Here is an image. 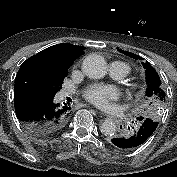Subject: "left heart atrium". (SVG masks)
I'll list each match as a JSON object with an SVG mask.
<instances>
[{
    "label": "left heart atrium",
    "instance_id": "left-heart-atrium-1",
    "mask_svg": "<svg viewBox=\"0 0 177 177\" xmlns=\"http://www.w3.org/2000/svg\"><path fill=\"white\" fill-rule=\"evenodd\" d=\"M84 96L86 100L99 108H107L112 100H116L119 96L118 91L111 86H91Z\"/></svg>",
    "mask_w": 177,
    "mask_h": 177
}]
</instances>
